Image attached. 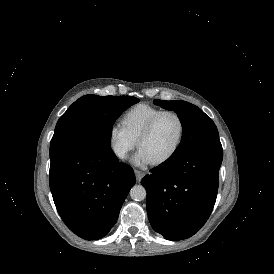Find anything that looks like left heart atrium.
<instances>
[{
    "mask_svg": "<svg viewBox=\"0 0 274 274\" xmlns=\"http://www.w3.org/2000/svg\"><path fill=\"white\" fill-rule=\"evenodd\" d=\"M132 162L136 165H144L150 163L145 153L139 149L132 157Z\"/></svg>",
    "mask_w": 274,
    "mask_h": 274,
    "instance_id": "left-heart-atrium-1",
    "label": "left heart atrium"
}]
</instances>
